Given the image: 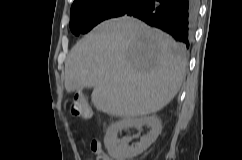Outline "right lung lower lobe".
Segmentation results:
<instances>
[{
  "mask_svg": "<svg viewBox=\"0 0 242 160\" xmlns=\"http://www.w3.org/2000/svg\"><path fill=\"white\" fill-rule=\"evenodd\" d=\"M198 1L144 0L124 15L141 19L189 47L198 13Z\"/></svg>",
  "mask_w": 242,
  "mask_h": 160,
  "instance_id": "1",
  "label": "right lung lower lobe"
}]
</instances>
